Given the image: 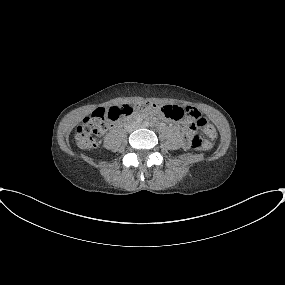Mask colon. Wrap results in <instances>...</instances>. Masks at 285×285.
Masks as SVG:
<instances>
[{
  "instance_id": "5ec220e1",
  "label": "colon",
  "mask_w": 285,
  "mask_h": 285,
  "mask_svg": "<svg viewBox=\"0 0 285 285\" xmlns=\"http://www.w3.org/2000/svg\"><path fill=\"white\" fill-rule=\"evenodd\" d=\"M140 110L159 113L166 119L172 121L184 120L188 124L194 122L197 127H204L206 123L198 110L194 108H184L178 105H159L154 102H138L118 105L110 109L98 107L77 127V144L83 149L96 147L100 141V137L107 130L110 122L125 119ZM205 133L211 138L216 135L215 128L211 125L205 126ZM184 139L186 146L192 149L202 150L210 147V143L205 140L202 135L191 131L189 128L185 131Z\"/></svg>"
}]
</instances>
